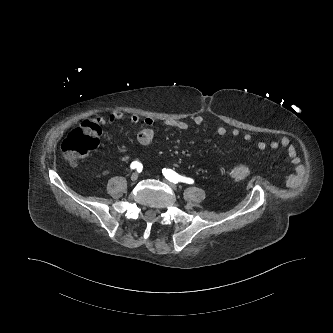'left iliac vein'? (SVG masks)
I'll list each match as a JSON object with an SVG mask.
<instances>
[{"instance_id": "obj_1", "label": "left iliac vein", "mask_w": 333, "mask_h": 333, "mask_svg": "<svg viewBox=\"0 0 333 333\" xmlns=\"http://www.w3.org/2000/svg\"><path fill=\"white\" fill-rule=\"evenodd\" d=\"M164 183L168 185L173 191H177V186L170 181L164 180Z\"/></svg>"}]
</instances>
